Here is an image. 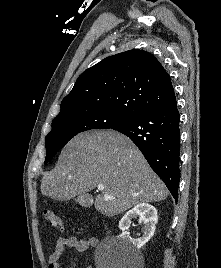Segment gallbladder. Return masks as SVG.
Instances as JSON below:
<instances>
[{
  "label": "gallbladder",
  "mask_w": 221,
  "mask_h": 268,
  "mask_svg": "<svg viewBox=\"0 0 221 268\" xmlns=\"http://www.w3.org/2000/svg\"><path fill=\"white\" fill-rule=\"evenodd\" d=\"M92 196L89 194L83 195V200L82 199H75V204H81L84 207H89L92 204Z\"/></svg>",
  "instance_id": "gallbladder-1"
}]
</instances>
